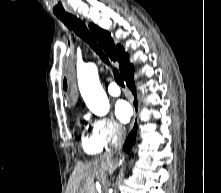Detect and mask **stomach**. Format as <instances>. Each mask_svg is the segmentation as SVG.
Listing matches in <instances>:
<instances>
[{
	"label": "stomach",
	"instance_id": "obj_1",
	"mask_svg": "<svg viewBox=\"0 0 221 193\" xmlns=\"http://www.w3.org/2000/svg\"><path fill=\"white\" fill-rule=\"evenodd\" d=\"M64 103H71L70 105L72 106V103H77V98H64Z\"/></svg>",
	"mask_w": 221,
	"mask_h": 193
}]
</instances>
